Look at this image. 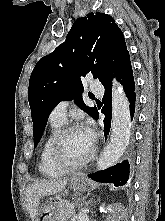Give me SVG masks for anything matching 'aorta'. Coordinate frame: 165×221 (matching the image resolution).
<instances>
[{
	"label": "aorta",
	"mask_w": 165,
	"mask_h": 221,
	"mask_svg": "<svg viewBox=\"0 0 165 221\" xmlns=\"http://www.w3.org/2000/svg\"><path fill=\"white\" fill-rule=\"evenodd\" d=\"M131 134L129 101L120 83L113 81L112 88V134L110 142L97 161V169L104 170L114 165L124 154ZM76 221H89L85 209H81Z\"/></svg>",
	"instance_id": "obj_1"
}]
</instances>
